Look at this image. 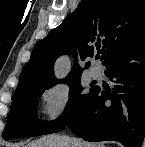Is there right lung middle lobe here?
<instances>
[{"instance_id": "1", "label": "right lung middle lobe", "mask_w": 145, "mask_h": 147, "mask_svg": "<svg viewBox=\"0 0 145 147\" xmlns=\"http://www.w3.org/2000/svg\"><path fill=\"white\" fill-rule=\"evenodd\" d=\"M81 75L70 77L65 83L71 86V93L64 112L53 121L38 119V97L51 87H31L16 91L13 96L10 113L2 133L4 139H16L29 136H40L63 130L69 122L81 112L93 95L96 86L87 94H82Z\"/></svg>"}]
</instances>
